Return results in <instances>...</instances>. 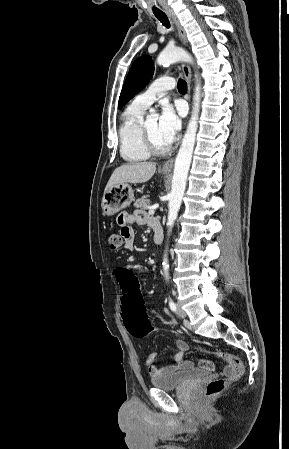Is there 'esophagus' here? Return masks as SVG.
Returning a JSON list of instances; mask_svg holds the SVG:
<instances>
[{"label":"esophagus","instance_id":"esophagus-1","mask_svg":"<svg viewBox=\"0 0 289 449\" xmlns=\"http://www.w3.org/2000/svg\"><path fill=\"white\" fill-rule=\"evenodd\" d=\"M170 18L172 19V21L174 22V24L176 25V28L178 30V34H179V38L182 41V43L186 44L187 43V38H186V32L184 30V28L182 27L180 21L178 20L177 16L173 13V12H169L168 13ZM182 71L184 73V76L187 80V85H188V92H187V100L190 101V92H191V70L188 64L183 63L182 64ZM173 164H174V158H171L169 160H167L162 167V170L165 172L170 171L173 168Z\"/></svg>","mask_w":289,"mask_h":449}]
</instances>
